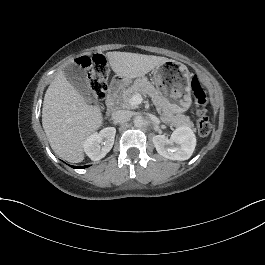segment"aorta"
<instances>
[{
    "label": "aorta",
    "mask_w": 265,
    "mask_h": 265,
    "mask_svg": "<svg viewBox=\"0 0 265 265\" xmlns=\"http://www.w3.org/2000/svg\"><path fill=\"white\" fill-rule=\"evenodd\" d=\"M134 125L135 127H142L144 125V119L141 116H136L134 118Z\"/></svg>",
    "instance_id": "aorta-1"
}]
</instances>
